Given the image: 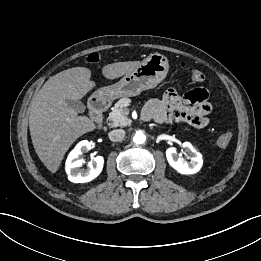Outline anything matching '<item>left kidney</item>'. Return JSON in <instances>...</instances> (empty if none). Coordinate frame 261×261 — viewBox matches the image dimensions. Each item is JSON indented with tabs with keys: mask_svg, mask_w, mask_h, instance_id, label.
Segmentation results:
<instances>
[{
	"mask_svg": "<svg viewBox=\"0 0 261 261\" xmlns=\"http://www.w3.org/2000/svg\"><path fill=\"white\" fill-rule=\"evenodd\" d=\"M183 148L190 152V161H184L177 152L175 147H170L166 150V157L169 165L174 168L180 174H194L197 173L202 165L203 159L200 152H198L191 143H183Z\"/></svg>",
	"mask_w": 261,
	"mask_h": 261,
	"instance_id": "5707ae66",
	"label": "left kidney"
}]
</instances>
